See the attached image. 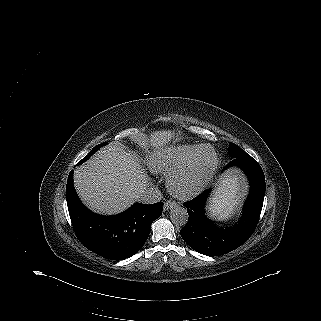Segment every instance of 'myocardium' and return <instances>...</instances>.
Masks as SVG:
<instances>
[{
  "mask_svg": "<svg viewBox=\"0 0 321 321\" xmlns=\"http://www.w3.org/2000/svg\"><path fill=\"white\" fill-rule=\"evenodd\" d=\"M204 149H210L213 154V163H212V166H211L209 172L204 177L203 181L199 185H197L196 187L188 189V190H180L177 187L178 181L193 172L196 162H197V158H198L199 154ZM217 166H218V157H217V153H216L214 147L210 144H202L196 149V151L189 158V160L186 162V164H184L182 167L176 169L175 171H173L172 173H170L168 175V178H167L168 190L170 191L171 194H173L177 198H180V199L192 198V197L198 195L208 185V183L212 180L213 176L216 173Z\"/></svg>",
  "mask_w": 321,
  "mask_h": 321,
  "instance_id": "obj_1",
  "label": "myocardium"
}]
</instances>
